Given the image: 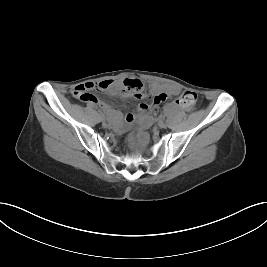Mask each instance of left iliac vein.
<instances>
[{
	"mask_svg": "<svg viewBox=\"0 0 267 267\" xmlns=\"http://www.w3.org/2000/svg\"><path fill=\"white\" fill-rule=\"evenodd\" d=\"M159 126H160L161 128H166L167 124L161 121V122L159 123Z\"/></svg>",
	"mask_w": 267,
	"mask_h": 267,
	"instance_id": "4c4485c4",
	"label": "left iliac vein"
}]
</instances>
